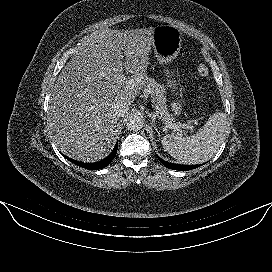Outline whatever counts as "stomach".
<instances>
[{"mask_svg": "<svg viewBox=\"0 0 272 272\" xmlns=\"http://www.w3.org/2000/svg\"><path fill=\"white\" fill-rule=\"evenodd\" d=\"M153 49L160 65L172 62L181 49V33L173 26L161 25L155 28L153 34Z\"/></svg>", "mask_w": 272, "mask_h": 272, "instance_id": "0dacf381", "label": "stomach"}]
</instances>
